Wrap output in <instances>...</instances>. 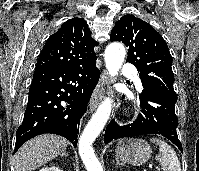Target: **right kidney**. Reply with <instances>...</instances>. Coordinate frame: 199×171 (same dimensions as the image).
I'll list each match as a JSON object with an SVG mask.
<instances>
[{
  "instance_id": "obj_1",
  "label": "right kidney",
  "mask_w": 199,
  "mask_h": 171,
  "mask_svg": "<svg viewBox=\"0 0 199 171\" xmlns=\"http://www.w3.org/2000/svg\"><path fill=\"white\" fill-rule=\"evenodd\" d=\"M39 171H63V170H61L60 168L56 166H52V167L41 168Z\"/></svg>"
}]
</instances>
